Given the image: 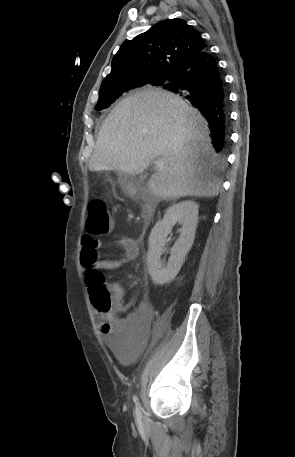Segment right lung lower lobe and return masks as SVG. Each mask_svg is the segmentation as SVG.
<instances>
[{
  "label": "right lung lower lobe",
  "instance_id": "1",
  "mask_svg": "<svg viewBox=\"0 0 295 457\" xmlns=\"http://www.w3.org/2000/svg\"><path fill=\"white\" fill-rule=\"evenodd\" d=\"M191 101L208 121L213 146L222 153L227 145L228 96L217 61L205 49L176 71L166 88Z\"/></svg>",
  "mask_w": 295,
  "mask_h": 457
}]
</instances>
